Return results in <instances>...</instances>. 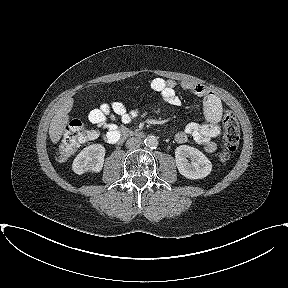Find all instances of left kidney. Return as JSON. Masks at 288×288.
Here are the masks:
<instances>
[{
	"label": "left kidney",
	"instance_id": "5707ae66",
	"mask_svg": "<svg viewBox=\"0 0 288 288\" xmlns=\"http://www.w3.org/2000/svg\"><path fill=\"white\" fill-rule=\"evenodd\" d=\"M187 158H190L191 162ZM175 160L180 174L188 179H202L212 170L210 160L201 151L188 145L176 148Z\"/></svg>",
	"mask_w": 288,
	"mask_h": 288
}]
</instances>
